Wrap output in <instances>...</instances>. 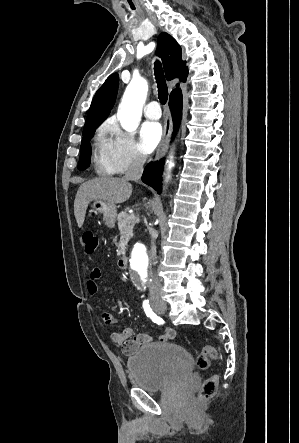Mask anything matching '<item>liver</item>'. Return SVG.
Here are the masks:
<instances>
[{
    "label": "liver",
    "instance_id": "6515ba94",
    "mask_svg": "<svg viewBox=\"0 0 299 443\" xmlns=\"http://www.w3.org/2000/svg\"><path fill=\"white\" fill-rule=\"evenodd\" d=\"M131 194L132 185L125 178L102 177L82 183L74 200V215L78 227L83 226L90 202L103 200L115 205L127 201Z\"/></svg>",
    "mask_w": 299,
    "mask_h": 443
}]
</instances>
